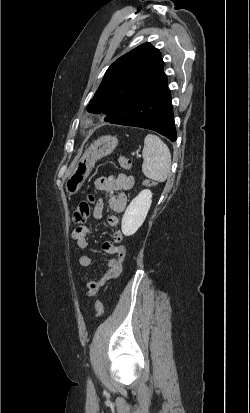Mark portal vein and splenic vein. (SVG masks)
Segmentation results:
<instances>
[{"instance_id":"portal-vein-and-splenic-vein-1","label":"portal vein and splenic vein","mask_w":250,"mask_h":413,"mask_svg":"<svg viewBox=\"0 0 250 413\" xmlns=\"http://www.w3.org/2000/svg\"><path fill=\"white\" fill-rule=\"evenodd\" d=\"M137 157H138V158H140V157H141V155H139V154H138V155H137Z\"/></svg>"}]
</instances>
